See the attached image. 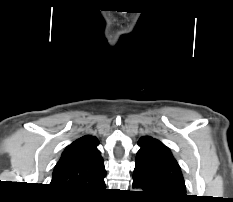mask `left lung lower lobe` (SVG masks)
I'll use <instances>...</instances> for the list:
<instances>
[{
    "label": "left lung lower lobe",
    "mask_w": 233,
    "mask_h": 202,
    "mask_svg": "<svg viewBox=\"0 0 233 202\" xmlns=\"http://www.w3.org/2000/svg\"><path fill=\"white\" fill-rule=\"evenodd\" d=\"M133 187H141L139 184H137L136 182H134L133 181ZM144 194H145V191H142ZM147 195V194H146ZM148 196V195H147ZM149 199H151V200H155V199H153V198H151V197H148ZM157 201V200H156ZM161 202H163V201H161ZM165 202V201H164ZM167 202V201H166Z\"/></svg>",
    "instance_id": "obj_1"
}]
</instances>
